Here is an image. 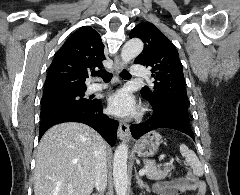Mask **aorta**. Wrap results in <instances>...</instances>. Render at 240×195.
I'll use <instances>...</instances> for the list:
<instances>
[{
	"label": "aorta",
	"instance_id": "762f6f07",
	"mask_svg": "<svg viewBox=\"0 0 240 195\" xmlns=\"http://www.w3.org/2000/svg\"><path fill=\"white\" fill-rule=\"evenodd\" d=\"M143 50V42L139 38H133L126 42L121 50V60L123 64H128L134 58H137ZM127 143H120L115 149L113 157V179L117 195H126L128 185L127 175Z\"/></svg>",
	"mask_w": 240,
	"mask_h": 195
}]
</instances>
